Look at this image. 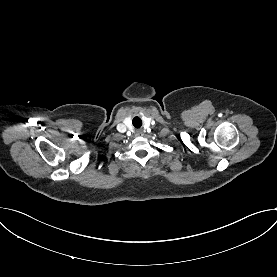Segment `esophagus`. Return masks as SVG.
I'll return each instance as SVG.
<instances>
[{
	"mask_svg": "<svg viewBox=\"0 0 277 277\" xmlns=\"http://www.w3.org/2000/svg\"><path fill=\"white\" fill-rule=\"evenodd\" d=\"M136 134H137L138 136H140V135H143V132H142L141 130H138V131L136 132Z\"/></svg>",
	"mask_w": 277,
	"mask_h": 277,
	"instance_id": "obj_1",
	"label": "esophagus"
}]
</instances>
